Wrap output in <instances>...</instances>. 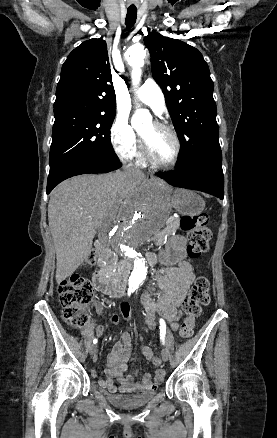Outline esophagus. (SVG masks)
I'll use <instances>...</instances> for the list:
<instances>
[{
  "label": "esophagus",
  "mask_w": 277,
  "mask_h": 438,
  "mask_svg": "<svg viewBox=\"0 0 277 438\" xmlns=\"http://www.w3.org/2000/svg\"><path fill=\"white\" fill-rule=\"evenodd\" d=\"M147 178L150 179V178H151V175H148Z\"/></svg>",
  "instance_id": "1"
}]
</instances>
